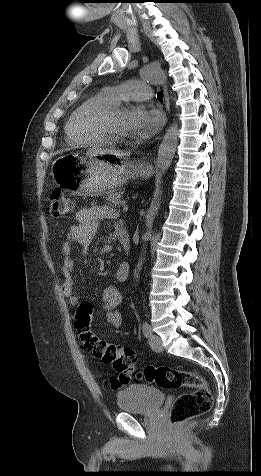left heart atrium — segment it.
Wrapping results in <instances>:
<instances>
[{
  "mask_svg": "<svg viewBox=\"0 0 261 476\" xmlns=\"http://www.w3.org/2000/svg\"><path fill=\"white\" fill-rule=\"evenodd\" d=\"M126 121L129 133L144 139L157 132L163 118L157 110L137 106L128 111Z\"/></svg>",
  "mask_w": 261,
  "mask_h": 476,
  "instance_id": "1",
  "label": "left heart atrium"
}]
</instances>
